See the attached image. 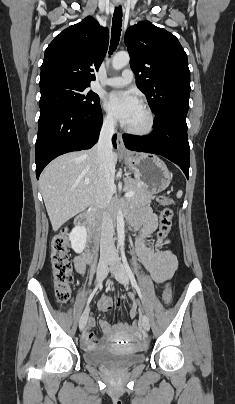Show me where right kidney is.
Returning a JSON list of instances; mask_svg holds the SVG:
<instances>
[{"instance_id":"ca27d5eb","label":"right kidney","mask_w":235,"mask_h":404,"mask_svg":"<svg viewBox=\"0 0 235 404\" xmlns=\"http://www.w3.org/2000/svg\"><path fill=\"white\" fill-rule=\"evenodd\" d=\"M87 232L84 226H76L72 229V232L69 235V239L71 241L72 249L76 253H81L86 244Z\"/></svg>"}]
</instances>
